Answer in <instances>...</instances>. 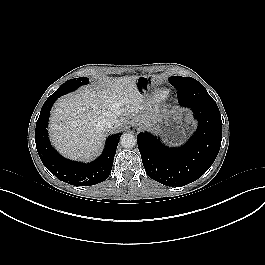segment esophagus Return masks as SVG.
Masks as SVG:
<instances>
[{
  "mask_svg": "<svg viewBox=\"0 0 265 265\" xmlns=\"http://www.w3.org/2000/svg\"><path fill=\"white\" fill-rule=\"evenodd\" d=\"M140 125L138 123H132V125L129 127L130 132L140 131Z\"/></svg>",
  "mask_w": 265,
  "mask_h": 265,
  "instance_id": "esophagus-1",
  "label": "esophagus"
}]
</instances>
